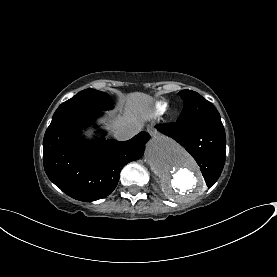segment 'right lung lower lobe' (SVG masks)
I'll return each instance as SVG.
<instances>
[{"mask_svg":"<svg viewBox=\"0 0 277 277\" xmlns=\"http://www.w3.org/2000/svg\"><path fill=\"white\" fill-rule=\"evenodd\" d=\"M102 113L80 114L49 126L43 140V163L49 179L70 197L90 202L111 194L121 169L139 159L149 134L128 141L82 139V129Z\"/></svg>","mask_w":277,"mask_h":277,"instance_id":"98d812e1","label":"right lung lower lobe"}]
</instances>
